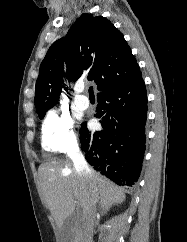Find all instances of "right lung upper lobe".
<instances>
[{"label":"right lung upper lobe","mask_w":187,"mask_h":242,"mask_svg":"<svg viewBox=\"0 0 187 242\" xmlns=\"http://www.w3.org/2000/svg\"><path fill=\"white\" fill-rule=\"evenodd\" d=\"M82 75L95 81L99 93L141 75L123 34L102 16L84 13L64 38L51 45L36 81V113L40 115L58 103L63 76L75 81Z\"/></svg>","instance_id":"right-lung-upper-lobe-1"}]
</instances>
